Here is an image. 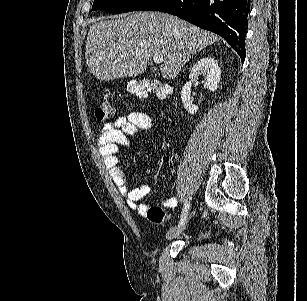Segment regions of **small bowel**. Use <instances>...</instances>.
<instances>
[{
	"mask_svg": "<svg viewBox=\"0 0 307 301\" xmlns=\"http://www.w3.org/2000/svg\"><path fill=\"white\" fill-rule=\"evenodd\" d=\"M151 125L149 115L141 111H132L106 123L97 140L100 153L114 183L124 196L127 205L141 216L146 215L149 206L140 201L150 194L151 188L145 184L138 187L128 185L127 173L120 165L117 153L120 147L131 145L130 136L149 130ZM177 204L178 199L175 196L163 202V205L168 208H173Z\"/></svg>",
	"mask_w": 307,
	"mask_h": 301,
	"instance_id": "1",
	"label": "small bowel"
}]
</instances>
